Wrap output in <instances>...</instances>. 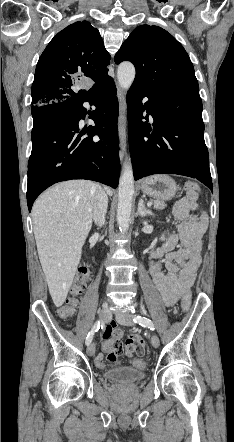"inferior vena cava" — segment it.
<instances>
[{
    "instance_id": "obj_1",
    "label": "inferior vena cava",
    "mask_w": 234,
    "mask_h": 442,
    "mask_svg": "<svg viewBox=\"0 0 234 442\" xmlns=\"http://www.w3.org/2000/svg\"><path fill=\"white\" fill-rule=\"evenodd\" d=\"M108 207V198L104 189L99 184H93L91 191V208L95 224L102 227Z\"/></svg>"
}]
</instances>
